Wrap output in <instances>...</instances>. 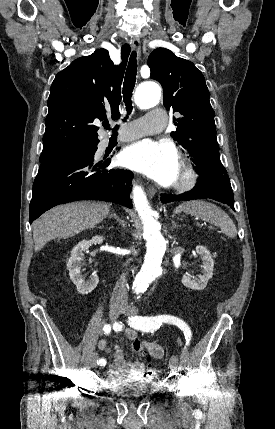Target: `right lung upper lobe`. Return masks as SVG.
Segmentation results:
<instances>
[{"label":"right lung upper lobe","mask_w":275,"mask_h":429,"mask_svg":"<svg viewBox=\"0 0 275 429\" xmlns=\"http://www.w3.org/2000/svg\"><path fill=\"white\" fill-rule=\"evenodd\" d=\"M130 46H122V63L113 64L105 49L74 60L59 72L50 88L48 115L40 156L49 157L71 148L98 143L93 122L107 113L119 117L121 83Z\"/></svg>","instance_id":"1"}]
</instances>
